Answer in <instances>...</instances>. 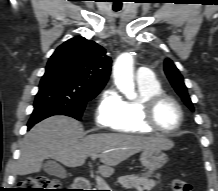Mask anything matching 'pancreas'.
I'll return each instance as SVG.
<instances>
[{"instance_id":"obj_1","label":"pancreas","mask_w":218,"mask_h":191,"mask_svg":"<svg viewBox=\"0 0 218 191\" xmlns=\"http://www.w3.org/2000/svg\"><path fill=\"white\" fill-rule=\"evenodd\" d=\"M148 174H143L141 176L137 175H127L118 178L117 182L126 189H136L138 191L151 190L156 186V182L148 178Z\"/></svg>"}]
</instances>
